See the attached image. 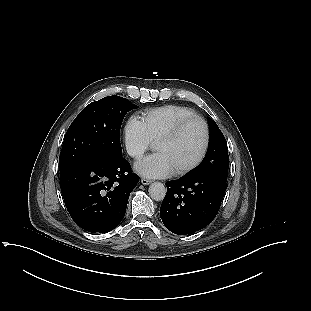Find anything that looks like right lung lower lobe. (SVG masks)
Returning <instances> with one entry per match:
<instances>
[{
	"instance_id": "1",
	"label": "right lung lower lobe",
	"mask_w": 311,
	"mask_h": 311,
	"mask_svg": "<svg viewBox=\"0 0 311 311\" xmlns=\"http://www.w3.org/2000/svg\"><path fill=\"white\" fill-rule=\"evenodd\" d=\"M138 181L123 157L88 158L60 172L67 210L75 223L89 232L107 233L117 227Z\"/></svg>"
}]
</instances>
